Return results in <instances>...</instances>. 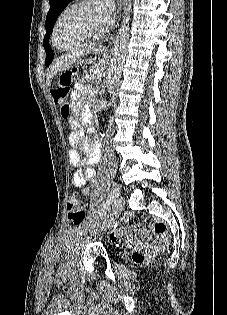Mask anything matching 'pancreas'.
I'll list each match as a JSON object with an SVG mask.
<instances>
[{
  "label": "pancreas",
  "instance_id": "obj_1",
  "mask_svg": "<svg viewBox=\"0 0 227 315\" xmlns=\"http://www.w3.org/2000/svg\"><path fill=\"white\" fill-rule=\"evenodd\" d=\"M99 76H100L99 71L95 73V69L90 68L89 71H86L82 74V80L87 83H93L96 77H99Z\"/></svg>",
  "mask_w": 227,
  "mask_h": 315
}]
</instances>
